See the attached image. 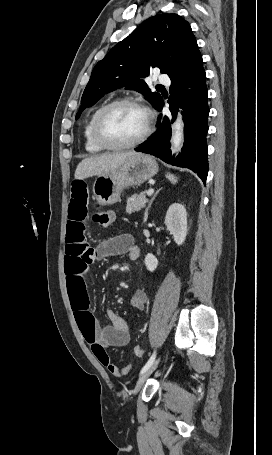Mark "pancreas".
Returning a JSON list of instances; mask_svg holds the SVG:
<instances>
[{
    "label": "pancreas",
    "mask_w": 272,
    "mask_h": 455,
    "mask_svg": "<svg viewBox=\"0 0 272 455\" xmlns=\"http://www.w3.org/2000/svg\"><path fill=\"white\" fill-rule=\"evenodd\" d=\"M146 193L147 191H142L138 195L137 194L133 195L132 200L127 201L126 212L128 214L137 212L141 210L143 207H145L146 203L148 202V199L146 198Z\"/></svg>",
    "instance_id": "cf45deb5"
}]
</instances>
